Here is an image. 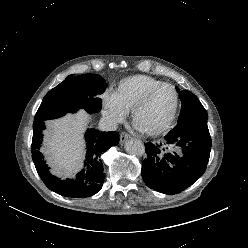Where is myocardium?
Segmentation results:
<instances>
[{
    "label": "myocardium",
    "mask_w": 248,
    "mask_h": 248,
    "mask_svg": "<svg viewBox=\"0 0 248 248\" xmlns=\"http://www.w3.org/2000/svg\"><path fill=\"white\" fill-rule=\"evenodd\" d=\"M163 87H169L174 92V104H173L172 112H171L168 120L166 121V123L157 129L141 130L138 128L142 133L146 134L147 136H151V137L159 136V135L167 132L173 126L175 119H176V116H177L178 107H179V93H178L176 87L170 83H165V82H162V83L152 87L141 97V99L135 104V106L131 110V120H132V123L135 125V120H136V117L139 114V112L148 104V102L151 99V97L153 96V94Z\"/></svg>",
    "instance_id": "f54148a6"
}]
</instances>
